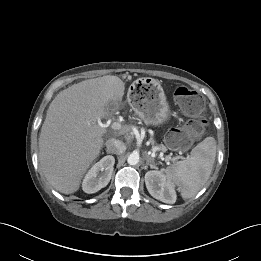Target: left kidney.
<instances>
[{
  "label": "left kidney",
  "instance_id": "1",
  "mask_svg": "<svg viewBox=\"0 0 261 261\" xmlns=\"http://www.w3.org/2000/svg\"><path fill=\"white\" fill-rule=\"evenodd\" d=\"M145 184L152 197L167 204L176 202V192L170 181L161 171H148L145 174Z\"/></svg>",
  "mask_w": 261,
  "mask_h": 261
}]
</instances>
